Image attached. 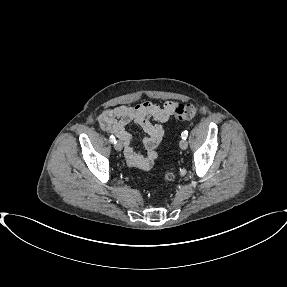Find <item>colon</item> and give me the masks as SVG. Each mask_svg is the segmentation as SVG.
Instances as JSON below:
<instances>
[{
  "label": "colon",
  "instance_id": "colon-1",
  "mask_svg": "<svg viewBox=\"0 0 287 287\" xmlns=\"http://www.w3.org/2000/svg\"><path fill=\"white\" fill-rule=\"evenodd\" d=\"M197 115V109L192 104H179L175 108V116L178 121L190 120ZM175 178L172 169H169L164 176L166 182H171Z\"/></svg>",
  "mask_w": 287,
  "mask_h": 287
}]
</instances>
